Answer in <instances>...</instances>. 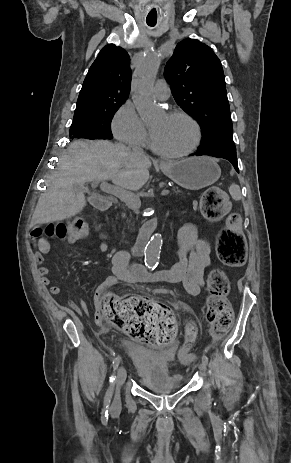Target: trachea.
<instances>
[{
  "mask_svg": "<svg viewBox=\"0 0 291 463\" xmlns=\"http://www.w3.org/2000/svg\"><path fill=\"white\" fill-rule=\"evenodd\" d=\"M147 24L151 27H154L156 25V23H150V22H147Z\"/></svg>",
  "mask_w": 291,
  "mask_h": 463,
  "instance_id": "3493384b",
  "label": "trachea"
}]
</instances>
